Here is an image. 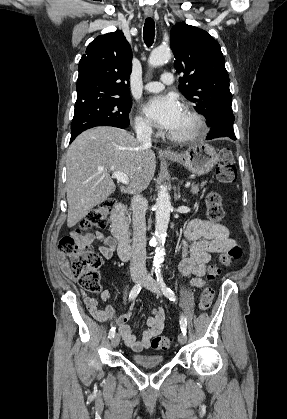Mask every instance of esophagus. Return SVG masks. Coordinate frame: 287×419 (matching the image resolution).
<instances>
[{"label":"esophagus","mask_w":287,"mask_h":419,"mask_svg":"<svg viewBox=\"0 0 287 419\" xmlns=\"http://www.w3.org/2000/svg\"><path fill=\"white\" fill-rule=\"evenodd\" d=\"M153 15L152 11H145V16L146 17H151ZM161 152L166 153V154H171L172 151L169 149H162Z\"/></svg>","instance_id":"obj_1"}]
</instances>
